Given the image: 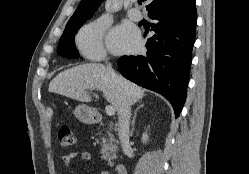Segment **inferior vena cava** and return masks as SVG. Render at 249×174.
Wrapping results in <instances>:
<instances>
[{"mask_svg": "<svg viewBox=\"0 0 249 174\" xmlns=\"http://www.w3.org/2000/svg\"><path fill=\"white\" fill-rule=\"evenodd\" d=\"M107 68L110 70L114 82L119 85V79L115 72L112 70L111 64H107ZM130 104L119 88V108H118V136L121 142L123 152H127L130 148L129 146V125H130Z\"/></svg>", "mask_w": 249, "mask_h": 174, "instance_id": "1", "label": "inferior vena cava"}]
</instances>
